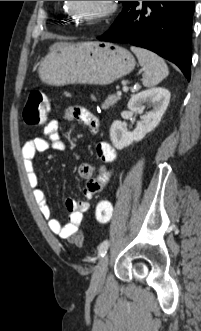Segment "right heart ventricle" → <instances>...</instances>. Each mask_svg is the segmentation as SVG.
<instances>
[{
  "label": "right heart ventricle",
  "instance_id": "e07e8e85",
  "mask_svg": "<svg viewBox=\"0 0 201 331\" xmlns=\"http://www.w3.org/2000/svg\"><path fill=\"white\" fill-rule=\"evenodd\" d=\"M69 15H70V16H74V14H73V12H72V11L69 13Z\"/></svg>",
  "mask_w": 201,
  "mask_h": 331
}]
</instances>
